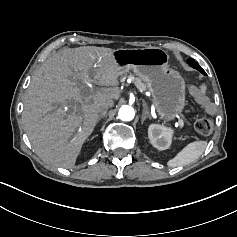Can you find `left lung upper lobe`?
Wrapping results in <instances>:
<instances>
[{"mask_svg":"<svg viewBox=\"0 0 237 237\" xmlns=\"http://www.w3.org/2000/svg\"><path fill=\"white\" fill-rule=\"evenodd\" d=\"M188 64L193 67L194 69H197L198 71H200L203 75H206L205 71L199 66V64L194 61L193 59H188Z\"/></svg>","mask_w":237,"mask_h":237,"instance_id":"5c2ea615","label":"left lung upper lobe"}]
</instances>
